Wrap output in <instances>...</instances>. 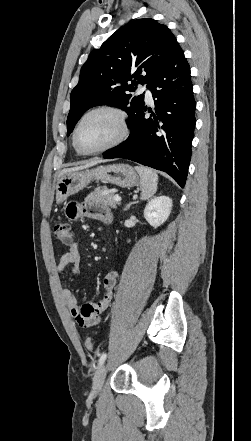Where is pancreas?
<instances>
[{
    "mask_svg": "<svg viewBox=\"0 0 251 441\" xmlns=\"http://www.w3.org/2000/svg\"><path fill=\"white\" fill-rule=\"evenodd\" d=\"M113 197V193L104 186L96 188L86 197V200L97 204L109 206L112 209H116L119 203L114 201Z\"/></svg>",
    "mask_w": 251,
    "mask_h": 441,
    "instance_id": "1",
    "label": "pancreas"
}]
</instances>
